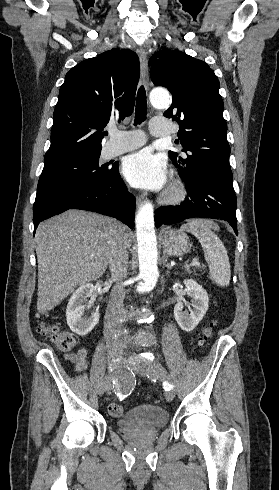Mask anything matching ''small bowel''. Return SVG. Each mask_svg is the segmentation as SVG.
<instances>
[{"mask_svg":"<svg viewBox=\"0 0 279 490\" xmlns=\"http://www.w3.org/2000/svg\"><path fill=\"white\" fill-rule=\"evenodd\" d=\"M66 360L74 364L77 372H83L87 369V351L85 349H79L75 352H71L65 355Z\"/></svg>","mask_w":279,"mask_h":490,"instance_id":"c3829d8e","label":"small bowel"}]
</instances>
